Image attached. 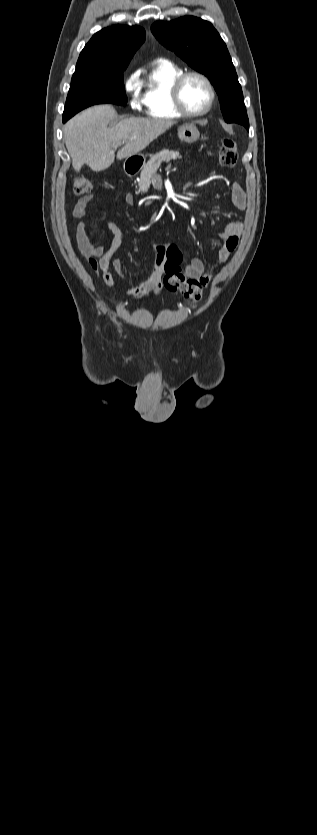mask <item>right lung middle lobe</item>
I'll return each instance as SVG.
<instances>
[{"mask_svg":"<svg viewBox=\"0 0 317 835\" xmlns=\"http://www.w3.org/2000/svg\"><path fill=\"white\" fill-rule=\"evenodd\" d=\"M123 71L79 70L72 76L63 112V122L95 104L126 105Z\"/></svg>","mask_w":317,"mask_h":835,"instance_id":"dd1d6c3e","label":"right lung middle lobe"}]
</instances>
